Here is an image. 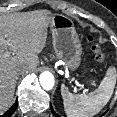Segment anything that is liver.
I'll use <instances>...</instances> for the list:
<instances>
[{"instance_id": "6515ba94", "label": "liver", "mask_w": 117, "mask_h": 117, "mask_svg": "<svg viewBox=\"0 0 117 117\" xmlns=\"http://www.w3.org/2000/svg\"><path fill=\"white\" fill-rule=\"evenodd\" d=\"M51 12L37 10L0 17V115L10 106L18 80V69L34 70L46 44ZM15 52L6 55L5 49Z\"/></svg>"}]
</instances>
